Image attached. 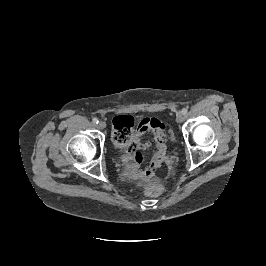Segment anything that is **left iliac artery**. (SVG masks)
Instances as JSON below:
<instances>
[{
  "instance_id": "1",
  "label": "left iliac artery",
  "mask_w": 266,
  "mask_h": 266,
  "mask_svg": "<svg viewBox=\"0 0 266 266\" xmlns=\"http://www.w3.org/2000/svg\"><path fill=\"white\" fill-rule=\"evenodd\" d=\"M181 112L183 115H185V114H187L188 110L186 108H183Z\"/></svg>"
}]
</instances>
